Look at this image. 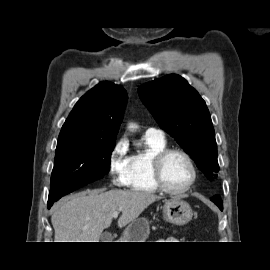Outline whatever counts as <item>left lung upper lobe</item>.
<instances>
[{
  "instance_id": "obj_1",
  "label": "left lung upper lobe",
  "mask_w": 270,
  "mask_h": 270,
  "mask_svg": "<svg viewBox=\"0 0 270 270\" xmlns=\"http://www.w3.org/2000/svg\"><path fill=\"white\" fill-rule=\"evenodd\" d=\"M139 96L159 126L176 139L211 180L218 176L217 145L205 101L179 75L141 85Z\"/></svg>"
}]
</instances>
